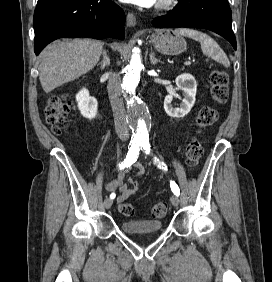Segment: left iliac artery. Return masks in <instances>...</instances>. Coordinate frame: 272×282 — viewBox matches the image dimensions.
I'll list each match as a JSON object with an SVG mask.
<instances>
[{"label": "left iliac artery", "mask_w": 272, "mask_h": 282, "mask_svg": "<svg viewBox=\"0 0 272 282\" xmlns=\"http://www.w3.org/2000/svg\"><path fill=\"white\" fill-rule=\"evenodd\" d=\"M140 145H141V148H143L146 151V153H148L150 151V144H149V140L148 139H143L140 142ZM162 168H164V167H162ZM170 187H171L172 192L176 196L180 195V189H179L178 185L174 181L170 182Z\"/></svg>", "instance_id": "1"}]
</instances>
